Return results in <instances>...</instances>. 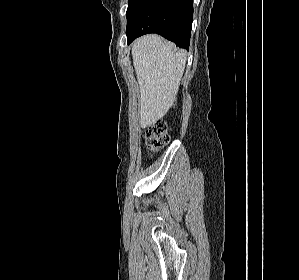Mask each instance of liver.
Instances as JSON below:
<instances>
[{"mask_svg":"<svg viewBox=\"0 0 299 280\" xmlns=\"http://www.w3.org/2000/svg\"><path fill=\"white\" fill-rule=\"evenodd\" d=\"M133 65L139 89L140 126L155 124L172 106L185 69L186 51L156 34L132 44Z\"/></svg>","mask_w":299,"mask_h":280,"instance_id":"6515ba94","label":"liver"}]
</instances>
